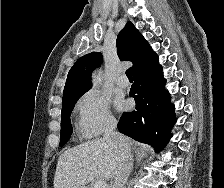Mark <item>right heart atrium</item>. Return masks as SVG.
Masks as SVG:
<instances>
[{
  "label": "right heart atrium",
  "mask_w": 224,
  "mask_h": 188,
  "mask_svg": "<svg viewBox=\"0 0 224 188\" xmlns=\"http://www.w3.org/2000/svg\"><path fill=\"white\" fill-rule=\"evenodd\" d=\"M77 111L81 130L90 138L112 130L117 124L111 111L110 99L96 89L88 90L80 97Z\"/></svg>",
  "instance_id": "right-heart-atrium-1"
}]
</instances>
